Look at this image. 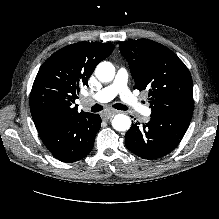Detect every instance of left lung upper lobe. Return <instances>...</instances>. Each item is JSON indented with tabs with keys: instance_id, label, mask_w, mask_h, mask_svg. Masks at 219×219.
I'll list each match as a JSON object with an SVG mask.
<instances>
[{
	"instance_id": "1",
	"label": "left lung upper lobe",
	"mask_w": 219,
	"mask_h": 219,
	"mask_svg": "<svg viewBox=\"0 0 219 219\" xmlns=\"http://www.w3.org/2000/svg\"><path fill=\"white\" fill-rule=\"evenodd\" d=\"M119 48L136 82L134 89H149L152 114L193 110L191 75L174 52L148 39L122 42Z\"/></svg>"
}]
</instances>
